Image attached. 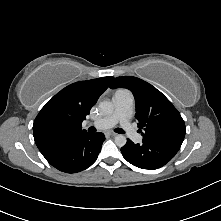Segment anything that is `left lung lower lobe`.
I'll return each mask as SVG.
<instances>
[{
	"instance_id": "1",
	"label": "left lung lower lobe",
	"mask_w": 221,
	"mask_h": 221,
	"mask_svg": "<svg viewBox=\"0 0 221 221\" xmlns=\"http://www.w3.org/2000/svg\"><path fill=\"white\" fill-rule=\"evenodd\" d=\"M180 149L179 146L163 143H150L143 141L134 144L127 139V143L121 148L123 157L132 165L154 170L168 163Z\"/></svg>"
}]
</instances>
